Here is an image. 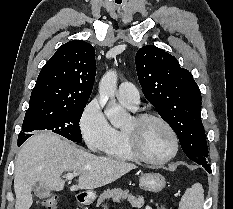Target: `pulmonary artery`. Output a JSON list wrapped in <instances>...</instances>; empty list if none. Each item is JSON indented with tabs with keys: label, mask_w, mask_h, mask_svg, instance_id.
I'll return each instance as SVG.
<instances>
[{
	"label": "pulmonary artery",
	"mask_w": 233,
	"mask_h": 209,
	"mask_svg": "<svg viewBox=\"0 0 233 209\" xmlns=\"http://www.w3.org/2000/svg\"><path fill=\"white\" fill-rule=\"evenodd\" d=\"M117 97L122 102L128 106L136 109L139 102L140 96L136 86L130 82H123L120 84Z\"/></svg>",
	"instance_id": "obj_1"
}]
</instances>
